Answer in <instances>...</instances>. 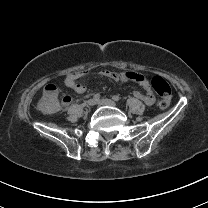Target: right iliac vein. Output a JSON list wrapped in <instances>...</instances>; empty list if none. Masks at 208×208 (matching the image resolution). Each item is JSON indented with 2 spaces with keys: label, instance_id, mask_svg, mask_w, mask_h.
<instances>
[{
  "label": "right iliac vein",
  "instance_id": "1",
  "mask_svg": "<svg viewBox=\"0 0 208 208\" xmlns=\"http://www.w3.org/2000/svg\"><path fill=\"white\" fill-rule=\"evenodd\" d=\"M95 104H96V100L95 99H89L87 101V105L90 106V107L94 106Z\"/></svg>",
  "mask_w": 208,
  "mask_h": 208
}]
</instances>
